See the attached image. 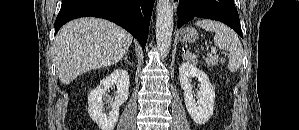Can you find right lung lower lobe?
<instances>
[{
	"instance_id": "1",
	"label": "right lung lower lobe",
	"mask_w": 299,
	"mask_h": 130,
	"mask_svg": "<svg viewBox=\"0 0 299 130\" xmlns=\"http://www.w3.org/2000/svg\"><path fill=\"white\" fill-rule=\"evenodd\" d=\"M154 0H62L55 33L68 21L93 16L108 19L130 32L145 48Z\"/></svg>"
}]
</instances>
